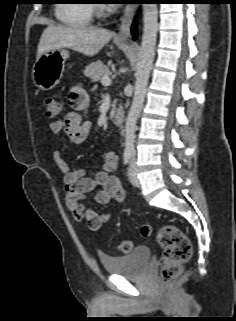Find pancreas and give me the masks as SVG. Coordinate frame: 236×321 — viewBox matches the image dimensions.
Masks as SVG:
<instances>
[{
  "label": "pancreas",
  "mask_w": 236,
  "mask_h": 321,
  "mask_svg": "<svg viewBox=\"0 0 236 321\" xmlns=\"http://www.w3.org/2000/svg\"><path fill=\"white\" fill-rule=\"evenodd\" d=\"M84 75L91 79V81L95 82L102 79L103 76H109L110 71L102 61H97L86 67L84 70ZM112 107V110H114L116 107V101H114Z\"/></svg>",
  "instance_id": "pancreas-1"
}]
</instances>
